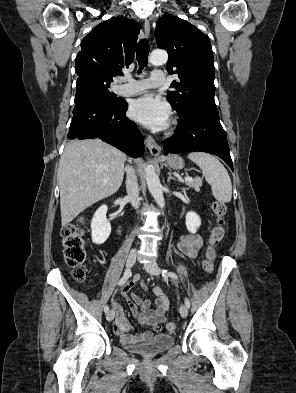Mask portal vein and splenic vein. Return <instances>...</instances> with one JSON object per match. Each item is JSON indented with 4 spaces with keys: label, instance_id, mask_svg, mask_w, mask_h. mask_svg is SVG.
<instances>
[{
    "label": "portal vein and splenic vein",
    "instance_id": "portal-vein-and-splenic-vein-1",
    "mask_svg": "<svg viewBox=\"0 0 296 393\" xmlns=\"http://www.w3.org/2000/svg\"><path fill=\"white\" fill-rule=\"evenodd\" d=\"M185 180H186V181H192L193 179H192L191 177H189V176H186V177H185ZM107 181H108V180H106V179L104 180L105 183H106Z\"/></svg>",
    "mask_w": 296,
    "mask_h": 393
}]
</instances>
